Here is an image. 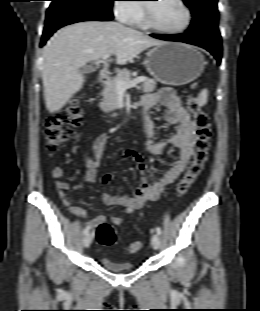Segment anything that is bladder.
<instances>
[{
	"label": "bladder",
	"instance_id": "obj_1",
	"mask_svg": "<svg viewBox=\"0 0 260 311\" xmlns=\"http://www.w3.org/2000/svg\"><path fill=\"white\" fill-rule=\"evenodd\" d=\"M97 261L101 266L111 271H125L133 270L136 268V265L132 262L115 261L103 252L97 255Z\"/></svg>",
	"mask_w": 260,
	"mask_h": 311
}]
</instances>
